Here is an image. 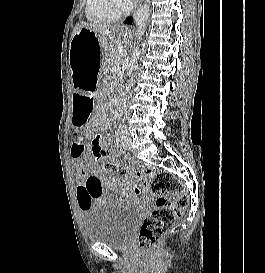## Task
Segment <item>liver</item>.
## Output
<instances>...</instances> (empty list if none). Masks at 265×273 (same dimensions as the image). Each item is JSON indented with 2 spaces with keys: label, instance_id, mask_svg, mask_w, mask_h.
<instances>
[{
  "label": "liver",
  "instance_id": "6515ba94",
  "mask_svg": "<svg viewBox=\"0 0 265 273\" xmlns=\"http://www.w3.org/2000/svg\"><path fill=\"white\" fill-rule=\"evenodd\" d=\"M82 28L93 31L99 37H101L102 39L109 40L111 43L116 42L115 36L120 31L119 26H113V25H108V24H104V23L80 22L74 27L71 39Z\"/></svg>",
  "mask_w": 265,
  "mask_h": 273
}]
</instances>
